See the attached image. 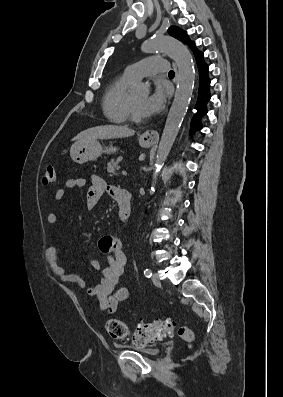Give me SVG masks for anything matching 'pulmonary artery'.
I'll list each match as a JSON object with an SVG mask.
<instances>
[{"label":"pulmonary artery","instance_id":"e3ab8cb5","mask_svg":"<svg viewBox=\"0 0 283 397\" xmlns=\"http://www.w3.org/2000/svg\"><path fill=\"white\" fill-rule=\"evenodd\" d=\"M168 64L166 60L157 57H147L132 65H129L124 74L132 80H137L145 76H152L160 72H166Z\"/></svg>","mask_w":283,"mask_h":397}]
</instances>
